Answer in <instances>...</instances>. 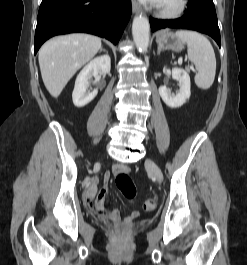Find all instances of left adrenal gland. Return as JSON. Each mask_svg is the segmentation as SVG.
<instances>
[{
    "instance_id": "obj_1",
    "label": "left adrenal gland",
    "mask_w": 247,
    "mask_h": 265,
    "mask_svg": "<svg viewBox=\"0 0 247 265\" xmlns=\"http://www.w3.org/2000/svg\"><path fill=\"white\" fill-rule=\"evenodd\" d=\"M161 48L158 47L157 55H160Z\"/></svg>"
}]
</instances>
